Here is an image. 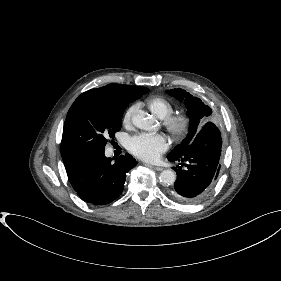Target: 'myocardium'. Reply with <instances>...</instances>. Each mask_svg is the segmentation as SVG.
Masks as SVG:
<instances>
[{"instance_id":"myocardium-1","label":"myocardium","mask_w":281,"mask_h":281,"mask_svg":"<svg viewBox=\"0 0 281 281\" xmlns=\"http://www.w3.org/2000/svg\"><path fill=\"white\" fill-rule=\"evenodd\" d=\"M163 125L176 139L184 137L190 130L191 119L187 114H170L163 118Z\"/></svg>"}]
</instances>
